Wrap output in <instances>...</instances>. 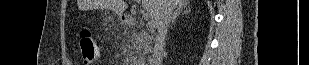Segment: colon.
Returning <instances> with one entry per match:
<instances>
[{"label": "colon", "instance_id": "obj_1", "mask_svg": "<svg viewBox=\"0 0 309 65\" xmlns=\"http://www.w3.org/2000/svg\"><path fill=\"white\" fill-rule=\"evenodd\" d=\"M79 44L83 63L86 65L95 64L99 60V51L89 30L84 29L81 31Z\"/></svg>", "mask_w": 309, "mask_h": 65}]
</instances>
